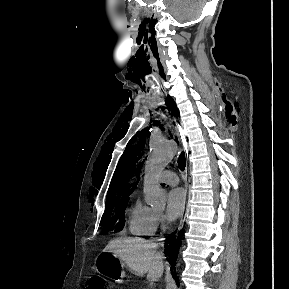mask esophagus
I'll return each mask as SVG.
<instances>
[{
    "label": "esophagus",
    "mask_w": 289,
    "mask_h": 289,
    "mask_svg": "<svg viewBox=\"0 0 289 289\" xmlns=\"http://www.w3.org/2000/svg\"><path fill=\"white\" fill-rule=\"evenodd\" d=\"M174 134L178 141L182 144L185 153H186V158H187V163H186V168H185V181H186V187L189 188V179H188V157H189V149L185 140V136L182 133L181 127L176 123L175 128H174ZM190 199V194L187 196V200ZM184 220V216L181 218V221Z\"/></svg>",
    "instance_id": "34e87169"
}]
</instances>
